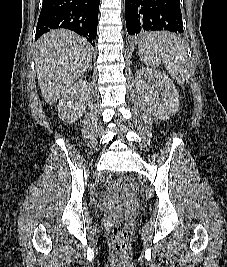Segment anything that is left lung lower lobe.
Wrapping results in <instances>:
<instances>
[{"label": "left lung lower lobe", "mask_w": 227, "mask_h": 267, "mask_svg": "<svg viewBox=\"0 0 227 267\" xmlns=\"http://www.w3.org/2000/svg\"><path fill=\"white\" fill-rule=\"evenodd\" d=\"M125 17L133 39L145 31L184 32L180 0H125Z\"/></svg>", "instance_id": "1"}]
</instances>
